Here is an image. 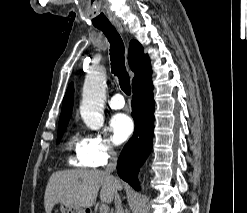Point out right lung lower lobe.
Listing matches in <instances>:
<instances>
[{"instance_id":"1","label":"right lung lower lobe","mask_w":247,"mask_h":213,"mask_svg":"<svg viewBox=\"0 0 247 213\" xmlns=\"http://www.w3.org/2000/svg\"><path fill=\"white\" fill-rule=\"evenodd\" d=\"M132 90V116L135 131L120 154L117 171L120 178L138 190L140 186L136 177L153 143L155 101L151 75L134 83Z\"/></svg>"}]
</instances>
